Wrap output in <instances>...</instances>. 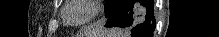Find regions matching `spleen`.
<instances>
[{
    "instance_id": "obj_1",
    "label": "spleen",
    "mask_w": 219,
    "mask_h": 37,
    "mask_svg": "<svg viewBox=\"0 0 219 37\" xmlns=\"http://www.w3.org/2000/svg\"><path fill=\"white\" fill-rule=\"evenodd\" d=\"M128 30L127 29H111L107 35V37H128L127 36Z\"/></svg>"
}]
</instances>
